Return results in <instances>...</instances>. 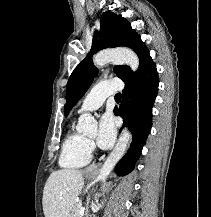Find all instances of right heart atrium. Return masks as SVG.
Wrapping results in <instances>:
<instances>
[{
  "label": "right heart atrium",
  "instance_id": "1",
  "mask_svg": "<svg viewBox=\"0 0 211 217\" xmlns=\"http://www.w3.org/2000/svg\"><path fill=\"white\" fill-rule=\"evenodd\" d=\"M88 146H89L90 150H93L94 145H93V143L91 141H88Z\"/></svg>",
  "mask_w": 211,
  "mask_h": 217
}]
</instances>
